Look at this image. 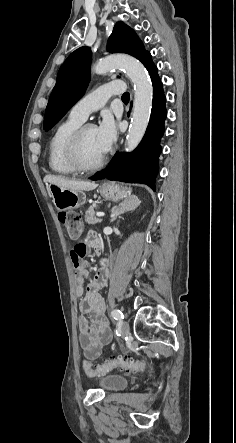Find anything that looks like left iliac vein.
Listing matches in <instances>:
<instances>
[{
  "mask_svg": "<svg viewBox=\"0 0 236 443\" xmlns=\"http://www.w3.org/2000/svg\"><path fill=\"white\" fill-rule=\"evenodd\" d=\"M120 333L123 337L129 334V324L126 321L122 322Z\"/></svg>",
  "mask_w": 236,
  "mask_h": 443,
  "instance_id": "1",
  "label": "left iliac vein"
}]
</instances>
